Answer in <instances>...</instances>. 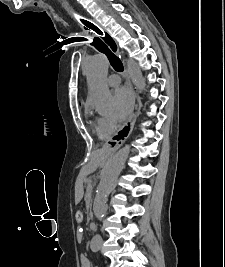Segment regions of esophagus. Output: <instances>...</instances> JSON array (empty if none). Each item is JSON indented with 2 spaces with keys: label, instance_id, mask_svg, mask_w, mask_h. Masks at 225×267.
I'll use <instances>...</instances> for the list:
<instances>
[{
  "label": "esophagus",
  "instance_id": "1",
  "mask_svg": "<svg viewBox=\"0 0 225 267\" xmlns=\"http://www.w3.org/2000/svg\"><path fill=\"white\" fill-rule=\"evenodd\" d=\"M95 24L101 29L103 35V38L106 37V34L108 35V37H110V45L108 44L109 48L111 49L112 52H114L116 55H118L121 58L120 55V51H119V46L116 42V40L107 32L106 29L102 28L98 23L95 22ZM124 65V76L126 78V84L130 87V90L132 92L133 95V102H134V106H133V111L131 113V115L129 116L128 120L125 123V126L122 129L121 132V138L118 139H111L110 141H107L104 146H103V150L108 154V155H112L116 152V150L125 142V140L129 137V135L131 134L135 122H136V113L135 111L137 110V104L135 103V100L137 98V92L134 89L129 77H128V72L127 69Z\"/></svg>",
  "mask_w": 225,
  "mask_h": 267
}]
</instances>
